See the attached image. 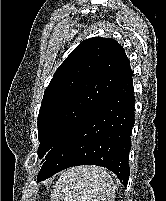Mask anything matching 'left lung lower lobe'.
Returning <instances> with one entry per match:
<instances>
[{"label": "left lung lower lobe", "mask_w": 166, "mask_h": 201, "mask_svg": "<svg viewBox=\"0 0 166 201\" xmlns=\"http://www.w3.org/2000/svg\"><path fill=\"white\" fill-rule=\"evenodd\" d=\"M132 76L130 70L84 123L45 159L37 181L72 166L90 164L106 167L127 185L130 136L135 122Z\"/></svg>", "instance_id": "0a47b994"}]
</instances>
